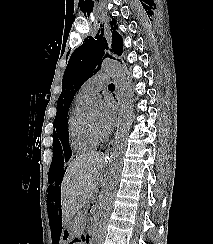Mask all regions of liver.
Returning <instances> with one entry per match:
<instances>
[{
	"label": "liver",
	"instance_id": "1",
	"mask_svg": "<svg viewBox=\"0 0 213 244\" xmlns=\"http://www.w3.org/2000/svg\"><path fill=\"white\" fill-rule=\"evenodd\" d=\"M103 162V154L93 152L78 155L69 163L61 183L64 225L70 222L72 216L94 193L100 180Z\"/></svg>",
	"mask_w": 213,
	"mask_h": 244
}]
</instances>
